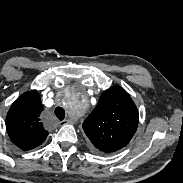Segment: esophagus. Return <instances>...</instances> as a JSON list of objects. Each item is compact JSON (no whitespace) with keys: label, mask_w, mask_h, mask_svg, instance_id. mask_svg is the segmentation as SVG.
Wrapping results in <instances>:
<instances>
[{"label":"esophagus","mask_w":183,"mask_h":183,"mask_svg":"<svg viewBox=\"0 0 183 183\" xmlns=\"http://www.w3.org/2000/svg\"><path fill=\"white\" fill-rule=\"evenodd\" d=\"M60 123H61L62 125H67V124H70L71 121L68 120V119H65V120L61 121Z\"/></svg>","instance_id":"obj_1"}]
</instances>
